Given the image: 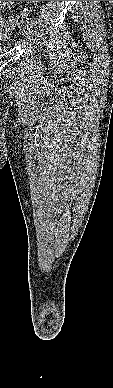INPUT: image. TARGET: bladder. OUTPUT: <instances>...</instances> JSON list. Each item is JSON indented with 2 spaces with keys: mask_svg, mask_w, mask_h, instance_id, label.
<instances>
[{
  "mask_svg": "<svg viewBox=\"0 0 113 388\" xmlns=\"http://www.w3.org/2000/svg\"><path fill=\"white\" fill-rule=\"evenodd\" d=\"M5 27L6 26L4 24L3 25L0 24V54L4 53L6 51V45L3 43L4 37L6 35L2 32V30Z\"/></svg>",
  "mask_w": 113,
  "mask_h": 388,
  "instance_id": "bladder-1",
  "label": "bladder"
}]
</instances>
